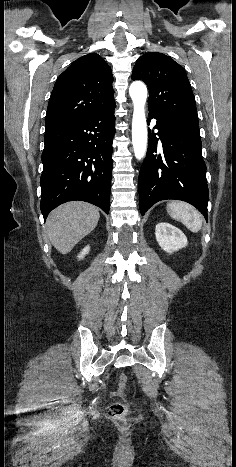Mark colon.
<instances>
[{
	"label": "colon",
	"instance_id": "1",
	"mask_svg": "<svg viewBox=\"0 0 236 467\" xmlns=\"http://www.w3.org/2000/svg\"><path fill=\"white\" fill-rule=\"evenodd\" d=\"M127 377L125 374L120 373L118 375V388L121 392H123L127 387ZM108 415L117 420V421H125L126 415L128 413V407L126 404L122 402H115L109 405L107 409Z\"/></svg>",
	"mask_w": 236,
	"mask_h": 467
}]
</instances>
